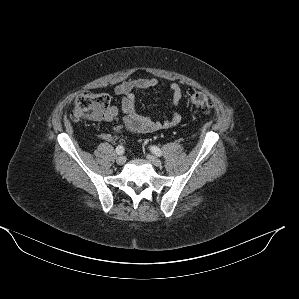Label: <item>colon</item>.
I'll list each match as a JSON object with an SVG mask.
<instances>
[{
    "instance_id": "obj_1",
    "label": "colon",
    "mask_w": 299,
    "mask_h": 299,
    "mask_svg": "<svg viewBox=\"0 0 299 299\" xmlns=\"http://www.w3.org/2000/svg\"><path fill=\"white\" fill-rule=\"evenodd\" d=\"M189 101L199 108L203 113H210L212 105L209 97L200 91L190 90ZM110 98L106 94L85 92L79 94L74 102L72 118L75 121L100 120L109 108Z\"/></svg>"
}]
</instances>
